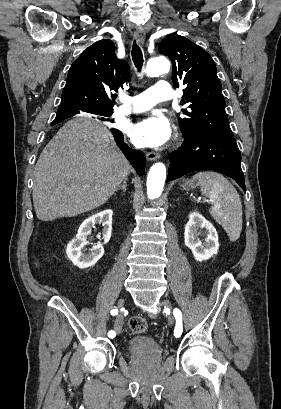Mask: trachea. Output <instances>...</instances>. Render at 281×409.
<instances>
[{"label": "trachea", "mask_w": 281, "mask_h": 409, "mask_svg": "<svg viewBox=\"0 0 281 409\" xmlns=\"http://www.w3.org/2000/svg\"><path fill=\"white\" fill-rule=\"evenodd\" d=\"M132 59L134 62L135 67L140 71L143 66V55L141 48L137 45L136 40L133 42L132 50H131Z\"/></svg>", "instance_id": "3493384b"}]
</instances>
